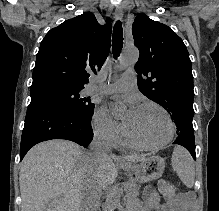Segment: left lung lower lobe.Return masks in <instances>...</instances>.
<instances>
[{
    "label": "left lung lower lobe",
    "mask_w": 219,
    "mask_h": 211,
    "mask_svg": "<svg viewBox=\"0 0 219 211\" xmlns=\"http://www.w3.org/2000/svg\"><path fill=\"white\" fill-rule=\"evenodd\" d=\"M173 144L184 146L196 160L194 134H180Z\"/></svg>",
    "instance_id": "1"
}]
</instances>
